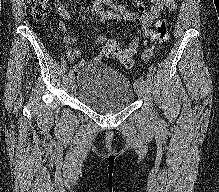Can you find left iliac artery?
I'll list each match as a JSON object with an SVG mask.
<instances>
[{
	"mask_svg": "<svg viewBox=\"0 0 219 192\" xmlns=\"http://www.w3.org/2000/svg\"><path fill=\"white\" fill-rule=\"evenodd\" d=\"M147 80L150 81V82L153 81V75H152V73H148V74H147Z\"/></svg>",
	"mask_w": 219,
	"mask_h": 192,
	"instance_id": "1",
	"label": "left iliac artery"
}]
</instances>
